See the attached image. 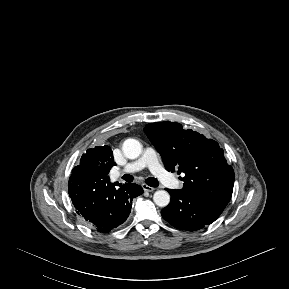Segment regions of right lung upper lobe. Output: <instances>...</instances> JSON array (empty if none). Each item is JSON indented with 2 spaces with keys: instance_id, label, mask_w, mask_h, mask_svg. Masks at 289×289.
Segmentation results:
<instances>
[{
  "instance_id": "cb5924a9",
  "label": "right lung upper lobe",
  "mask_w": 289,
  "mask_h": 289,
  "mask_svg": "<svg viewBox=\"0 0 289 289\" xmlns=\"http://www.w3.org/2000/svg\"><path fill=\"white\" fill-rule=\"evenodd\" d=\"M114 165L112 150L109 146L104 145L87 150L86 154L82 155L80 165L74 169L109 181L108 173Z\"/></svg>"
}]
</instances>
